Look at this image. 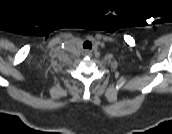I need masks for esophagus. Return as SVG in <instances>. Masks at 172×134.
I'll return each mask as SVG.
<instances>
[{"mask_svg":"<svg viewBox=\"0 0 172 134\" xmlns=\"http://www.w3.org/2000/svg\"><path fill=\"white\" fill-rule=\"evenodd\" d=\"M85 54H91V51L89 49L84 50Z\"/></svg>","mask_w":172,"mask_h":134,"instance_id":"1","label":"esophagus"}]
</instances>
